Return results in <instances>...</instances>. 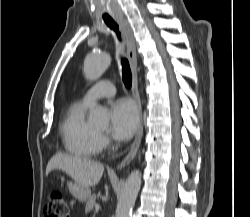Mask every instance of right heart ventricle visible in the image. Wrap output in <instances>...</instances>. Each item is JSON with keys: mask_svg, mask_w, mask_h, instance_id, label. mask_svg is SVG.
<instances>
[{"mask_svg": "<svg viewBox=\"0 0 250 217\" xmlns=\"http://www.w3.org/2000/svg\"><path fill=\"white\" fill-rule=\"evenodd\" d=\"M89 105L73 102L67 108L60 124V134L65 150L77 157H95L100 149L99 134L86 120Z\"/></svg>", "mask_w": 250, "mask_h": 217, "instance_id": "obj_1", "label": "right heart ventricle"}]
</instances>
